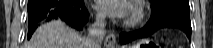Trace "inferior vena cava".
Instances as JSON below:
<instances>
[{
  "instance_id": "1",
  "label": "inferior vena cava",
  "mask_w": 213,
  "mask_h": 48,
  "mask_svg": "<svg viewBox=\"0 0 213 48\" xmlns=\"http://www.w3.org/2000/svg\"><path fill=\"white\" fill-rule=\"evenodd\" d=\"M105 17L101 14L96 15V20L88 29V35L85 38L87 48H99L100 44L106 34Z\"/></svg>"
}]
</instances>
